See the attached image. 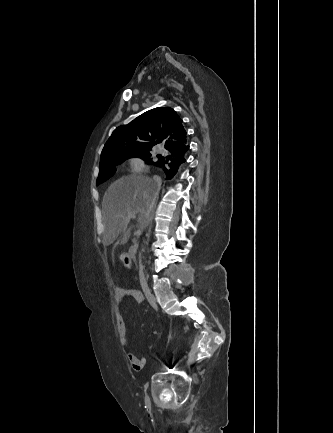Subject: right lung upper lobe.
Returning <instances> with one entry per match:
<instances>
[{"instance_id":"obj_1","label":"right lung upper lobe","mask_w":333,"mask_h":433,"mask_svg":"<svg viewBox=\"0 0 333 433\" xmlns=\"http://www.w3.org/2000/svg\"><path fill=\"white\" fill-rule=\"evenodd\" d=\"M162 141L167 150L187 143L182 120L169 107L151 109L129 124L116 128L103 148L101 160L116 153L152 149Z\"/></svg>"}]
</instances>
